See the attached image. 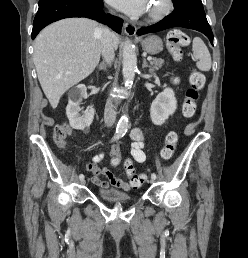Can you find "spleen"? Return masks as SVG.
I'll list each match as a JSON object with an SVG mask.
<instances>
[{"label": "spleen", "instance_id": "1", "mask_svg": "<svg viewBox=\"0 0 248 258\" xmlns=\"http://www.w3.org/2000/svg\"><path fill=\"white\" fill-rule=\"evenodd\" d=\"M192 51L197 68L201 71H209L212 64L211 55L201 38L195 37L193 39Z\"/></svg>", "mask_w": 248, "mask_h": 258}]
</instances>
